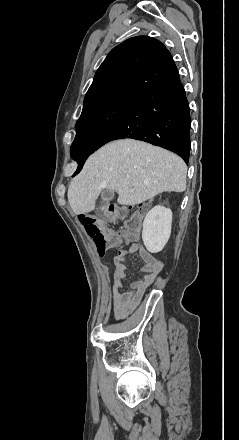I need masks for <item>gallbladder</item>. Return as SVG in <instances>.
<instances>
[{
    "label": "gallbladder",
    "instance_id": "gallbladder-1",
    "mask_svg": "<svg viewBox=\"0 0 239 440\" xmlns=\"http://www.w3.org/2000/svg\"><path fill=\"white\" fill-rule=\"evenodd\" d=\"M102 202H109V200H112L114 198V190H103L101 194Z\"/></svg>",
    "mask_w": 239,
    "mask_h": 440
}]
</instances>
